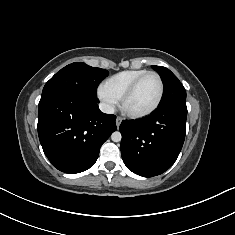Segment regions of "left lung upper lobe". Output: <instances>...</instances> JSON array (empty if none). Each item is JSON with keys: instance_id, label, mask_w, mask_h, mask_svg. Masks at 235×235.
<instances>
[{"instance_id": "obj_1", "label": "left lung upper lobe", "mask_w": 235, "mask_h": 235, "mask_svg": "<svg viewBox=\"0 0 235 235\" xmlns=\"http://www.w3.org/2000/svg\"><path fill=\"white\" fill-rule=\"evenodd\" d=\"M152 68L159 73L164 84V95L160 105L172 101H186V91L184 87L169 69L155 65H153Z\"/></svg>"}]
</instances>
